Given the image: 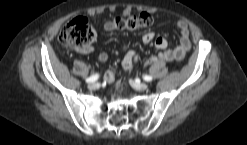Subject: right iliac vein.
I'll list each match as a JSON object with an SVG mask.
<instances>
[{
	"mask_svg": "<svg viewBox=\"0 0 247 145\" xmlns=\"http://www.w3.org/2000/svg\"><path fill=\"white\" fill-rule=\"evenodd\" d=\"M99 86H100L99 83L95 82V83L89 84V85H88V88H89L90 90H96V89L99 88Z\"/></svg>",
	"mask_w": 247,
	"mask_h": 145,
	"instance_id": "right-iliac-vein-1",
	"label": "right iliac vein"
}]
</instances>
